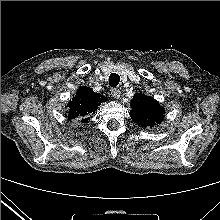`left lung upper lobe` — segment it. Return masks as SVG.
<instances>
[{"mask_svg":"<svg viewBox=\"0 0 220 220\" xmlns=\"http://www.w3.org/2000/svg\"><path fill=\"white\" fill-rule=\"evenodd\" d=\"M130 116L141 127H152L159 124L164 117V110L154 98L142 93L134 95L131 101Z\"/></svg>","mask_w":220,"mask_h":220,"instance_id":"1","label":"left lung upper lobe"}]
</instances>
